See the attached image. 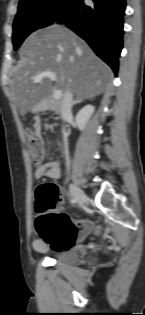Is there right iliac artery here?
Segmentation results:
<instances>
[{"label": "right iliac artery", "instance_id": "obj_1", "mask_svg": "<svg viewBox=\"0 0 145 315\" xmlns=\"http://www.w3.org/2000/svg\"><path fill=\"white\" fill-rule=\"evenodd\" d=\"M70 202H71L72 204H75V203L77 202V200H76L75 198H72V199L70 200Z\"/></svg>", "mask_w": 145, "mask_h": 315}]
</instances>
